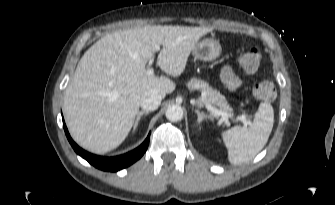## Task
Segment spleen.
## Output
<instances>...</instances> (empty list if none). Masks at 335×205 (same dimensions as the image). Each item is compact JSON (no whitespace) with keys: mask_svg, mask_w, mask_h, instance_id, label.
I'll return each mask as SVG.
<instances>
[{"mask_svg":"<svg viewBox=\"0 0 335 205\" xmlns=\"http://www.w3.org/2000/svg\"><path fill=\"white\" fill-rule=\"evenodd\" d=\"M274 124V111L269 103H261L250 127L234 126L222 133L228 160L239 165L252 160L266 145Z\"/></svg>","mask_w":335,"mask_h":205,"instance_id":"3e777b00","label":"spleen"}]
</instances>
